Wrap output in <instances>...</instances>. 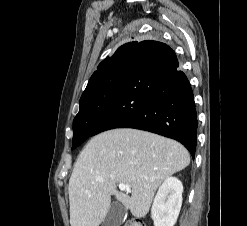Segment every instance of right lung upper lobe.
Returning a JSON list of instances; mask_svg holds the SVG:
<instances>
[{
  "mask_svg": "<svg viewBox=\"0 0 247 226\" xmlns=\"http://www.w3.org/2000/svg\"><path fill=\"white\" fill-rule=\"evenodd\" d=\"M137 44H138V42H130V43H126V44L122 45L121 47H119L116 50L113 57H119V56H124V55L131 56L132 51ZM113 57L112 58L107 57L98 65V69L91 76L85 91L93 84L95 79L101 74L102 70L110 63V61L113 59Z\"/></svg>",
  "mask_w": 247,
  "mask_h": 226,
  "instance_id": "obj_1",
  "label": "right lung upper lobe"
}]
</instances>
